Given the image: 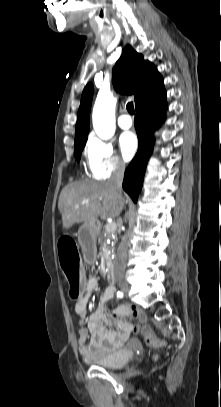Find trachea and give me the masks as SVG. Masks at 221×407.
Masks as SVG:
<instances>
[{
  "label": "trachea",
  "mask_w": 221,
  "mask_h": 407,
  "mask_svg": "<svg viewBox=\"0 0 221 407\" xmlns=\"http://www.w3.org/2000/svg\"><path fill=\"white\" fill-rule=\"evenodd\" d=\"M126 108L131 115L135 114L133 102H129Z\"/></svg>",
  "instance_id": "1"
}]
</instances>
